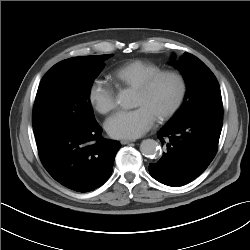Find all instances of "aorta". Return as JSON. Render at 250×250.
<instances>
[{
	"label": "aorta",
	"mask_w": 250,
	"mask_h": 250,
	"mask_svg": "<svg viewBox=\"0 0 250 250\" xmlns=\"http://www.w3.org/2000/svg\"><path fill=\"white\" fill-rule=\"evenodd\" d=\"M117 103L126 109L133 107V96L127 91H121L117 95ZM141 153L149 158H157L160 155L161 148L159 144L153 139H146L140 144Z\"/></svg>",
	"instance_id": "obj_1"
}]
</instances>
